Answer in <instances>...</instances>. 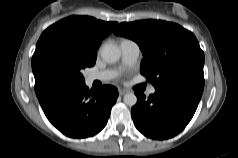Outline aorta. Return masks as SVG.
I'll list each match as a JSON object with an SVG mask.
<instances>
[{
  "label": "aorta",
  "mask_w": 238,
  "mask_h": 158,
  "mask_svg": "<svg viewBox=\"0 0 238 158\" xmlns=\"http://www.w3.org/2000/svg\"><path fill=\"white\" fill-rule=\"evenodd\" d=\"M101 57L107 63H115L119 60L121 52L119 48L114 44H105L101 48ZM123 102L127 106H134L137 103V97L133 92L127 93L123 97Z\"/></svg>",
  "instance_id": "1"
}]
</instances>
